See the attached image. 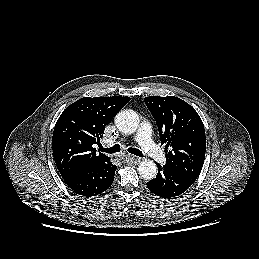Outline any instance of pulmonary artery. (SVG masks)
I'll return each instance as SVG.
<instances>
[{"label":"pulmonary artery","mask_w":259,"mask_h":259,"mask_svg":"<svg viewBox=\"0 0 259 259\" xmlns=\"http://www.w3.org/2000/svg\"><path fill=\"white\" fill-rule=\"evenodd\" d=\"M151 125L143 123L139 130L138 140L143 150L157 162H163L165 156L163 152L153 143L151 139Z\"/></svg>","instance_id":"1"}]
</instances>
